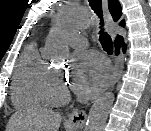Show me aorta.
<instances>
[{
  "label": "aorta",
  "mask_w": 151,
  "mask_h": 131,
  "mask_svg": "<svg viewBox=\"0 0 151 131\" xmlns=\"http://www.w3.org/2000/svg\"><path fill=\"white\" fill-rule=\"evenodd\" d=\"M59 21L63 28L79 30L83 21L77 16L71 6L62 9ZM45 55L53 61L62 60L68 56L65 42L59 32L53 33L47 40ZM114 94L107 92L97 98L89 110L85 131H104L108 114L114 103Z\"/></svg>",
  "instance_id": "1"
}]
</instances>
